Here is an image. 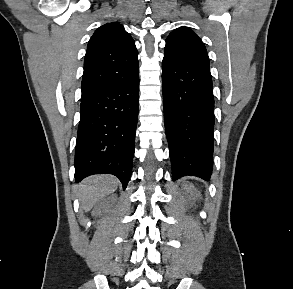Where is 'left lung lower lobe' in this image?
I'll return each mask as SVG.
<instances>
[{"label":"left lung lower lobe","mask_w":293,"mask_h":289,"mask_svg":"<svg viewBox=\"0 0 293 289\" xmlns=\"http://www.w3.org/2000/svg\"><path fill=\"white\" fill-rule=\"evenodd\" d=\"M165 131L173 180H210L214 148V97L209 67L168 58L162 62Z\"/></svg>","instance_id":"1"}]
</instances>
